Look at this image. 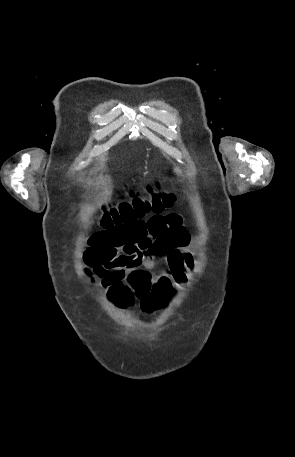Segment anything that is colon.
Wrapping results in <instances>:
<instances>
[{
	"instance_id": "colon-1",
	"label": "colon",
	"mask_w": 295,
	"mask_h": 457,
	"mask_svg": "<svg viewBox=\"0 0 295 457\" xmlns=\"http://www.w3.org/2000/svg\"><path fill=\"white\" fill-rule=\"evenodd\" d=\"M147 192V196L131 193L128 200L106 208L100 218V225L104 229L131 225L150 212H161L171 207L174 202L172 194L157 191V186L149 185ZM139 254L137 247L128 246L123 253L110 254L93 267L92 272L110 287L109 296L119 307L133 303L134 294L122 281L126 278L127 270L139 264V258H136ZM169 291L170 285L167 282L155 285L145 283L137 288L135 296L142 300L144 310L150 312L164 302Z\"/></svg>"
}]
</instances>
